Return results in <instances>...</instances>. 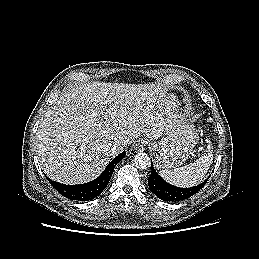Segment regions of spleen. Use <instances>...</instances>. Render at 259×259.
I'll return each instance as SVG.
<instances>
[{
	"label": "spleen",
	"instance_id": "1",
	"mask_svg": "<svg viewBox=\"0 0 259 259\" xmlns=\"http://www.w3.org/2000/svg\"><path fill=\"white\" fill-rule=\"evenodd\" d=\"M213 160V146H207L206 153L195 162L174 169H163L160 175L167 182L179 187H192L199 184L207 173Z\"/></svg>",
	"mask_w": 259,
	"mask_h": 259
}]
</instances>
